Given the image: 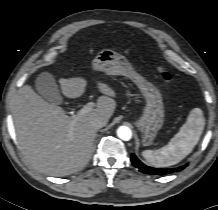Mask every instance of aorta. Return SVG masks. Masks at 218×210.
Wrapping results in <instances>:
<instances>
[{
	"label": "aorta",
	"mask_w": 218,
	"mask_h": 210,
	"mask_svg": "<svg viewBox=\"0 0 218 210\" xmlns=\"http://www.w3.org/2000/svg\"><path fill=\"white\" fill-rule=\"evenodd\" d=\"M117 136L124 141H129L132 137L131 129L127 126H120L117 129Z\"/></svg>",
	"instance_id": "aorta-1"
}]
</instances>
